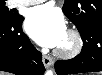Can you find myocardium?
I'll return each instance as SVG.
<instances>
[{
  "instance_id": "obj_1",
  "label": "myocardium",
  "mask_w": 102,
  "mask_h": 75,
  "mask_svg": "<svg viewBox=\"0 0 102 75\" xmlns=\"http://www.w3.org/2000/svg\"><path fill=\"white\" fill-rule=\"evenodd\" d=\"M70 45L67 48H58L57 54L63 58L70 59L78 55L83 47V39L81 34L73 28L66 32Z\"/></svg>"
}]
</instances>
